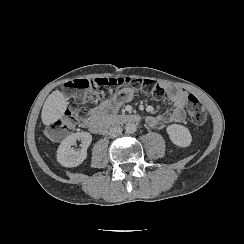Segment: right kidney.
Returning a JSON list of instances; mask_svg holds the SVG:
<instances>
[{"label":"right kidney","mask_w":244,"mask_h":244,"mask_svg":"<svg viewBox=\"0 0 244 244\" xmlns=\"http://www.w3.org/2000/svg\"><path fill=\"white\" fill-rule=\"evenodd\" d=\"M81 141L82 148L75 151L71 146ZM92 142V136L88 132H79L69 135L61 142L57 150V162L62 167L73 168L84 162L87 158V148Z\"/></svg>","instance_id":"right-kidney-1"}]
</instances>
